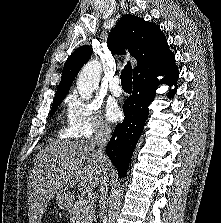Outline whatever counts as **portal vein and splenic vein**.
Segmentation results:
<instances>
[{"instance_id":"1","label":"portal vein and splenic vein","mask_w":221,"mask_h":223,"mask_svg":"<svg viewBox=\"0 0 221 223\" xmlns=\"http://www.w3.org/2000/svg\"><path fill=\"white\" fill-rule=\"evenodd\" d=\"M91 202H92L91 199L85 200V203H86V204H89V203H91Z\"/></svg>"}]
</instances>
